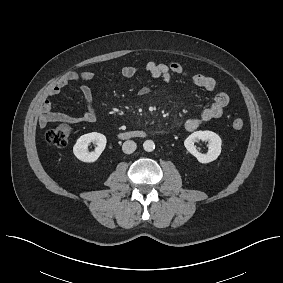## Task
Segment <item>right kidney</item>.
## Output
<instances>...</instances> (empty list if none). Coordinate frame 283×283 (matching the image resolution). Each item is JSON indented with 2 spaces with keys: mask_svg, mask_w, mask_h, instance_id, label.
Instances as JSON below:
<instances>
[{
  "mask_svg": "<svg viewBox=\"0 0 283 283\" xmlns=\"http://www.w3.org/2000/svg\"><path fill=\"white\" fill-rule=\"evenodd\" d=\"M94 142L97 147L94 152L88 151V146ZM107 139L105 135L97 132L87 133L77 139L73 147V153L82 162L93 163L97 161L106 147Z\"/></svg>",
  "mask_w": 283,
  "mask_h": 283,
  "instance_id": "obj_1",
  "label": "right kidney"
}]
</instances>
